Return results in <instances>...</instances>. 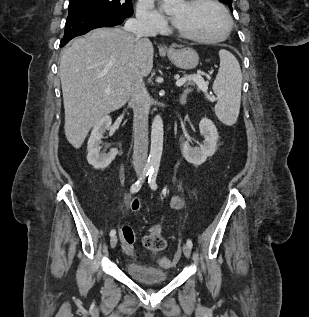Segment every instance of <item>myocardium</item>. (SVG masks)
Here are the masks:
<instances>
[{"instance_id": "f54148a6", "label": "myocardium", "mask_w": 309, "mask_h": 317, "mask_svg": "<svg viewBox=\"0 0 309 317\" xmlns=\"http://www.w3.org/2000/svg\"><path fill=\"white\" fill-rule=\"evenodd\" d=\"M185 2L189 6H194V5H198L201 3H209V4L214 5L222 13V15L225 19V22H226V27H225V30H224L222 35H220L218 37H213V38H206V37H200V36H196V35L187 34L185 32H182L181 30H179L175 26L174 32L176 33V35L178 37L183 38V39L188 40V41L201 43V44H214V43L223 42L230 36L232 29H233V20H232L231 15L229 14L228 10L221 2H219L218 0H187Z\"/></svg>"}]
</instances>
